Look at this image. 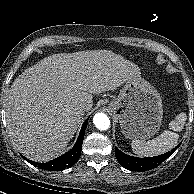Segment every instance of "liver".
Masks as SVG:
<instances>
[{
  "label": "liver",
  "mask_w": 194,
  "mask_h": 194,
  "mask_svg": "<svg viewBox=\"0 0 194 194\" xmlns=\"http://www.w3.org/2000/svg\"><path fill=\"white\" fill-rule=\"evenodd\" d=\"M139 75L134 63L107 50L54 54L39 61L16 78L7 94L6 124L13 144L34 161L53 159L91 110L92 94L116 90Z\"/></svg>",
  "instance_id": "obj_1"
}]
</instances>
